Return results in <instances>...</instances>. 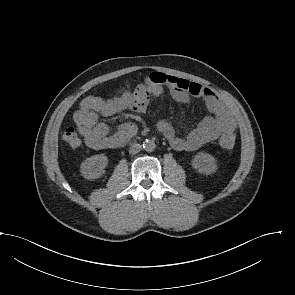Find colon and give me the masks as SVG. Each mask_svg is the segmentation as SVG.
I'll return each instance as SVG.
<instances>
[{
    "label": "colon",
    "mask_w": 295,
    "mask_h": 295,
    "mask_svg": "<svg viewBox=\"0 0 295 295\" xmlns=\"http://www.w3.org/2000/svg\"><path fill=\"white\" fill-rule=\"evenodd\" d=\"M235 138V130L227 129L221 136V147L225 150H231L234 147ZM63 139L71 148H77L81 143L77 132L73 128H67L64 131Z\"/></svg>",
    "instance_id": "1"
}]
</instances>
